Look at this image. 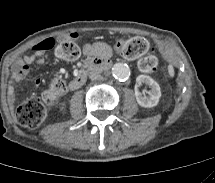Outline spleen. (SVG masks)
<instances>
[{"label": "spleen", "instance_id": "obj_1", "mask_svg": "<svg viewBox=\"0 0 215 183\" xmlns=\"http://www.w3.org/2000/svg\"><path fill=\"white\" fill-rule=\"evenodd\" d=\"M169 74H170V76H174V69H173V67L172 66H170L169 67Z\"/></svg>", "mask_w": 215, "mask_h": 183}]
</instances>
